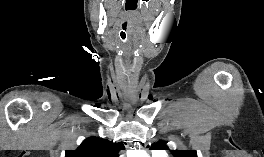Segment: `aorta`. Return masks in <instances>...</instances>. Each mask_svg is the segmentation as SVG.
Returning a JSON list of instances; mask_svg holds the SVG:
<instances>
[{
	"label": "aorta",
	"mask_w": 264,
	"mask_h": 157,
	"mask_svg": "<svg viewBox=\"0 0 264 157\" xmlns=\"http://www.w3.org/2000/svg\"><path fill=\"white\" fill-rule=\"evenodd\" d=\"M127 157H147V154L139 150H132L127 153Z\"/></svg>",
	"instance_id": "obj_1"
}]
</instances>
